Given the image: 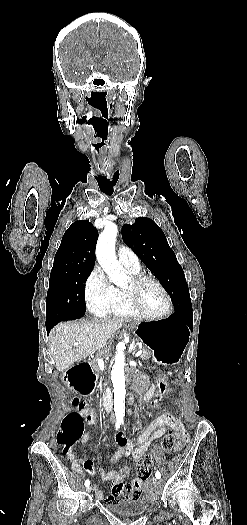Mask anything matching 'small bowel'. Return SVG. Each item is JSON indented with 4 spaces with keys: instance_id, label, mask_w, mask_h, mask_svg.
<instances>
[{
    "instance_id": "obj_1",
    "label": "small bowel",
    "mask_w": 247,
    "mask_h": 525,
    "mask_svg": "<svg viewBox=\"0 0 247 525\" xmlns=\"http://www.w3.org/2000/svg\"><path fill=\"white\" fill-rule=\"evenodd\" d=\"M155 396L154 387L151 386L143 395L142 399L146 402L147 399H155ZM169 427L173 428L176 431L177 437L184 440V442L188 439L186 430L181 422L169 413L158 416L133 438H128L122 431L116 432L114 439L118 445V449L111 456L109 465L122 462L127 456H131L135 462H138L148 452L151 445L164 436ZM91 438L92 434L90 432H85L80 440L82 444H85ZM68 458L72 469L80 476L86 477V472L83 470L82 465L85 466L88 473L93 474L89 470V466L91 465L89 460L80 458L72 452L69 453ZM155 458L159 463H162L163 457L160 453L156 452ZM99 473L103 481H109L113 484L112 491L103 497L104 505L120 506L122 502L121 485H123V482L129 477L131 470L128 467H123L119 471H108L104 468H100ZM141 485L142 482L138 478H134L131 482H126L124 484V489L126 491L132 490L135 495V497L130 498V500H137L143 495L144 490ZM94 495L96 497H101L103 495V490L101 488H95Z\"/></svg>"
}]
</instances>
